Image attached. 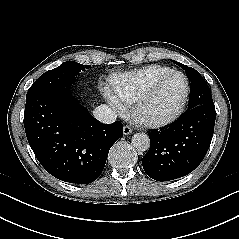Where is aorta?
Returning a JSON list of instances; mask_svg holds the SVG:
<instances>
[{"label":"aorta","mask_w":239,"mask_h":239,"mask_svg":"<svg viewBox=\"0 0 239 239\" xmlns=\"http://www.w3.org/2000/svg\"><path fill=\"white\" fill-rule=\"evenodd\" d=\"M132 146L138 151H146L150 148V139L147 134L136 133L131 140Z\"/></svg>","instance_id":"aorta-1"}]
</instances>
